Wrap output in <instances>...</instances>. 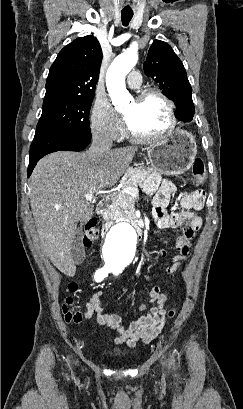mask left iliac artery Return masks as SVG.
I'll return each mask as SVG.
<instances>
[{
  "label": "left iliac artery",
  "instance_id": "1",
  "mask_svg": "<svg viewBox=\"0 0 243 409\" xmlns=\"http://www.w3.org/2000/svg\"><path fill=\"white\" fill-rule=\"evenodd\" d=\"M113 273H114L115 275H117V274L119 273V271L114 270Z\"/></svg>",
  "mask_w": 243,
  "mask_h": 409
}]
</instances>
